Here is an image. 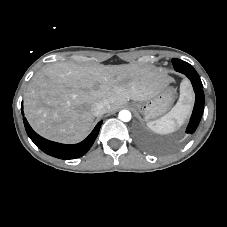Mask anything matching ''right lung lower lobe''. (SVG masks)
<instances>
[{"instance_id":"obj_1","label":"right lung lower lobe","mask_w":227,"mask_h":227,"mask_svg":"<svg viewBox=\"0 0 227 227\" xmlns=\"http://www.w3.org/2000/svg\"><path fill=\"white\" fill-rule=\"evenodd\" d=\"M21 108L23 109V105ZM23 122L25 125L26 132L30 139L34 142V144L48 155L60 159H75L83 156L93 145L102 124V121L99 122L94 128V130L91 132V134L84 141L74 145H66L52 142L39 136L30 127L25 117L23 118Z\"/></svg>"}]
</instances>
